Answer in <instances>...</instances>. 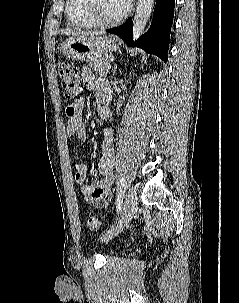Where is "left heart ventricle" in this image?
<instances>
[{"instance_id": "1", "label": "left heart ventricle", "mask_w": 239, "mask_h": 303, "mask_svg": "<svg viewBox=\"0 0 239 303\" xmlns=\"http://www.w3.org/2000/svg\"><path fill=\"white\" fill-rule=\"evenodd\" d=\"M100 14L105 19H113L121 15L126 8L121 0H99Z\"/></svg>"}]
</instances>
